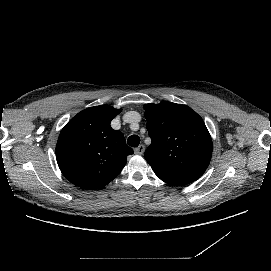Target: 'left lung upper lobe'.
<instances>
[{"label":"left lung upper lobe","mask_w":271,"mask_h":271,"mask_svg":"<svg viewBox=\"0 0 271 271\" xmlns=\"http://www.w3.org/2000/svg\"><path fill=\"white\" fill-rule=\"evenodd\" d=\"M152 140L145 159L155 167L201 176L212 156V140L202 118L186 105L145 104Z\"/></svg>","instance_id":"5c2ea615"}]
</instances>
